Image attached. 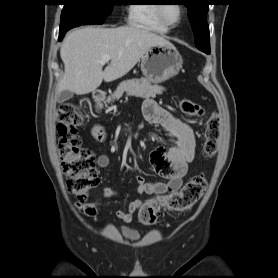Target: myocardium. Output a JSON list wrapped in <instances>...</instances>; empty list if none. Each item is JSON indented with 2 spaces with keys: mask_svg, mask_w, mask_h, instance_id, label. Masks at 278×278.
Returning a JSON list of instances; mask_svg holds the SVG:
<instances>
[{
  "mask_svg": "<svg viewBox=\"0 0 278 278\" xmlns=\"http://www.w3.org/2000/svg\"><path fill=\"white\" fill-rule=\"evenodd\" d=\"M178 6L180 8V16L176 22H170L166 18L165 12H164L166 5L161 4L158 6V9H157L158 17H159L160 21L164 24V26H166L167 28H174V27L178 26L181 23V21L183 20V18L185 16V12H186L185 6L181 5V4H179Z\"/></svg>",
  "mask_w": 278,
  "mask_h": 278,
  "instance_id": "obj_1",
  "label": "myocardium"
}]
</instances>
